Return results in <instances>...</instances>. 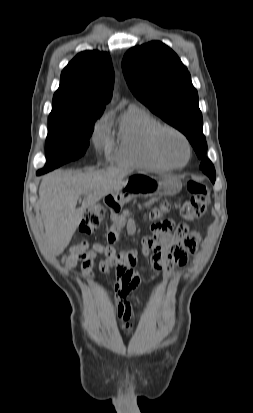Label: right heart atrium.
Segmentation results:
<instances>
[{
    "instance_id": "obj_1",
    "label": "right heart atrium",
    "mask_w": 253,
    "mask_h": 413,
    "mask_svg": "<svg viewBox=\"0 0 253 413\" xmlns=\"http://www.w3.org/2000/svg\"><path fill=\"white\" fill-rule=\"evenodd\" d=\"M108 133L103 125V123H99L95 129L93 135V143L97 149H101L108 144Z\"/></svg>"
}]
</instances>
